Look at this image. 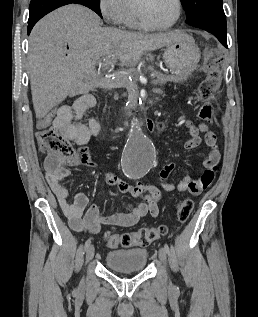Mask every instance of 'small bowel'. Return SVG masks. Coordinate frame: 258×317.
<instances>
[{
  "label": "small bowel",
  "instance_id": "obj_1",
  "mask_svg": "<svg viewBox=\"0 0 258 317\" xmlns=\"http://www.w3.org/2000/svg\"><path fill=\"white\" fill-rule=\"evenodd\" d=\"M95 105L96 100L93 95H82L73 105L61 106L55 113L51 114L50 118L40 120L38 125L43 128L52 124L66 139L83 146L99 132V123L95 118L89 116L86 121L83 120ZM183 123L191 135V138L184 144L187 150L198 147L202 142L201 134L204 133V142L210 148L203 161L204 170L196 179L185 175L175 185L168 181V176L174 170L175 164L167 161L160 172V187L143 182L129 185L113 173L102 171V176L108 184L115 186L121 192L130 193L134 198L140 200L136 205L127 204L124 211L109 216L102 215L97 205L89 204V199L84 193H77L72 202H69V192L62 185V181L70 175L69 170L65 167L66 163L53 155L46 157L44 167L48 184L70 227L78 232L87 230L94 234L101 230L102 225H107L112 229L131 227L146 215L158 216L161 189L167 192L177 189L180 192H190L194 195L200 194L206 189L212 183L220 162L216 136L207 130L205 125H195L186 119L183 120ZM146 124L150 130H154L155 126L152 121H147ZM81 164L88 168L97 169V165L87 152Z\"/></svg>",
  "mask_w": 258,
  "mask_h": 317
}]
</instances>
